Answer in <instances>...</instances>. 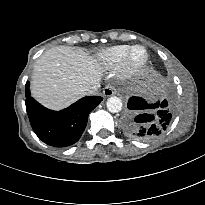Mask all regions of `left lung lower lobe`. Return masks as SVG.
I'll list each match as a JSON object with an SVG mask.
<instances>
[{
	"instance_id": "obj_1",
	"label": "left lung lower lobe",
	"mask_w": 205,
	"mask_h": 205,
	"mask_svg": "<svg viewBox=\"0 0 205 205\" xmlns=\"http://www.w3.org/2000/svg\"><path fill=\"white\" fill-rule=\"evenodd\" d=\"M129 114L123 120V130L139 141H151L161 136L173 118V107L167 100L148 104L144 99L131 97Z\"/></svg>"
}]
</instances>
